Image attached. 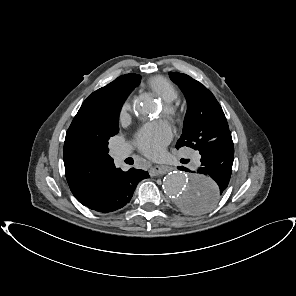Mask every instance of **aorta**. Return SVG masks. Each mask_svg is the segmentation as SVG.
I'll list each match as a JSON object with an SVG mask.
<instances>
[{
	"mask_svg": "<svg viewBox=\"0 0 296 296\" xmlns=\"http://www.w3.org/2000/svg\"><path fill=\"white\" fill-rule=\"evenodd\" d=\"M152 102L147 100L135 107L139 115L146 116L150 112ZM165 194L175 206L187 214H203L210 211L218 199L216 182L203 175L173 171L163 180Z\"/></svg>",
	"mask_w": 296,
	"mask_h": 296,
	"instance_id": "aorta-1",
	"label": "aorta"
}]
</instances>
